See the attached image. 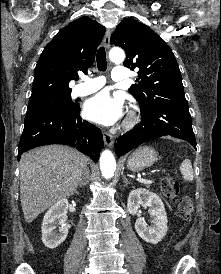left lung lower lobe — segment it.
Segmentation results:
<instances>
[{
  "instance_id": "obj_1",
  "label": "left lung lower lobe",
  "mask_w": 221,
  "mask_h": 274,
  "mask_svg": "<svg viewBox=\"0 0 221 274\" xmlns=\"http://www.w3.org/2000/svg\"><path fill=\"white\" fill-rule=\"evenodd\" d=\"M166 135L183 139L196 149L191 115L185 99L141 109V122L118 138L116 154L121 156L144 142Z\"/></svg>"
}]
</instances>
